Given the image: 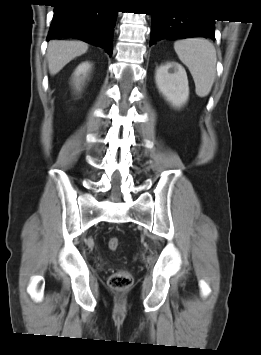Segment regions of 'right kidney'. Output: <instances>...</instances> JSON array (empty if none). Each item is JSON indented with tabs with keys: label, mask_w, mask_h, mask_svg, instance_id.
<instances>
[{
	"label": "right kidney",
	"mask_w": 261,
	"mask_h": 355,
	"mask_svg": "<svg viewBox=\"0 0 261 355\" xmlns=\"http://www.w3.org/2000/svg\"><path fill=\"white\" fill-rule=\"evenodd\" d=\"M91 67L92 65L88 61L83 62L77 66L73 73V80L77 88H79L80 83L85 79Z\"/></svg>",
	"instance_id": "obj_1"
}]
</instances>
